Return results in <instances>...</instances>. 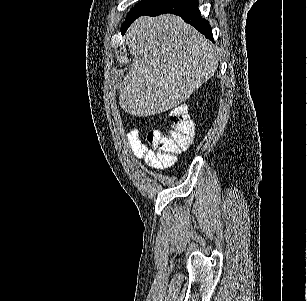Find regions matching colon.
I'll use <instances>...</instances> for the list:
<instances>
[{"mask_svg": "<svg viewBox=\"0 0 307 301\" xmlns=\"http://www.w3.org/2000/svg\"><path fill=\"white\" fill-rule=\"evenodd\" d=\"M169 115L171 123L169 130L165 132L154 130L148 134L151 150L165 166L175 163L177 154L190 146L194 136V123L184 105L174 107Z\"/></svg>", "mask_w": 307, "mask_h": 301, "instance_id": "colon-1", "label": "colon"}]
</instances>
